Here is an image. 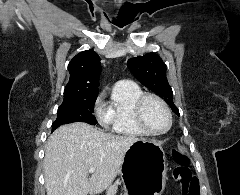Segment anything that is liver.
Here are the masks:
<instances>
[{
	"instance_id": "1",
	"label": "liver",
	"mask_w": 240,
	"mask_h": 195,
	"mask_svg": "<svg viewBox=\"0 0 240 195\" xmlns=\"http://www.w3.org/2000/svg\"><path fill=\"white\" fill-rule=\"evenodd\" d=\"M139 137L112 135L75 121L60 125L49 139L44 157L47 195H95L116 189L113 181L125 153ZM90 167H96L91 177Z\"/></svg>"
}]
</instances>
